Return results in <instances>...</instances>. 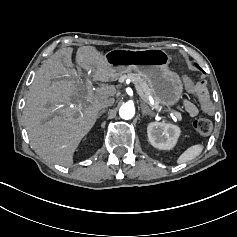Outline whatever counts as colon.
Wrapping results in <instances>:
<instances>
[{"mask_svg":"<svg viewBox=\"0 0 237 237\" xmlns=\"http://www.w3.org/2000/svg\"><path fill=\"white\" fill-rule=\"evenodd\" d=\"M183 82L186 89L197 98L204 110H213L214 105L209 100V97L204 89L199 88L198 85L187 76H183ZM193 126L194 129L201 135H208L212 130V122L207 118L196 119Z\"/></svg>","mask_w":237,"mask_h":237,"instance_id":"5ec220e1","label":"colon"}]
</instances>
